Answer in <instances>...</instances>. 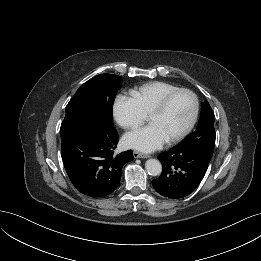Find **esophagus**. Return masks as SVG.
Here are the masks:
<instances>
[{"mask_svg": "<svg viewBox=\"0 0 261 261\" xmlns=\"http://www.w3.org/2000/svg\"><path fill=\"white\" fill-rule=\"evenodd\" d=\"M133 155H134L135 158H148L149 157L148 155L143 154V153H141L139 151H134Z\"/></svg>", "mask_w": 261, "mask_h": 261, "instance_id": "esophagus-1", "label": "esophagus"}]
</instances>
